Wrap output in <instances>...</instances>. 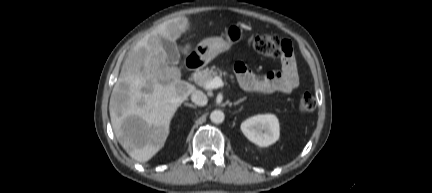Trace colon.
Returning a JSON list of instances; mask_svg holds the SVG:
<instances>
[{
  "label": "colon",
  "mask_w": 432,
  "mask_h": 193,
  "mask_svg": "<svg viewBox=\"0 0 432 193\" xmlns=\"http://www.w3.org/2000/svg\"><path fill=\"white\" fill-rule=\"evenodd\" d=\"M249 40L254 50L263 56L270 58L292 57L291 43L278 35H252ZM315 106L316 101L312 94L306 92L301 96L298 104V108L301 112H311L314 110Z\"/></svg>",
  "instance_id": "colon-1"
}]
</instances>
